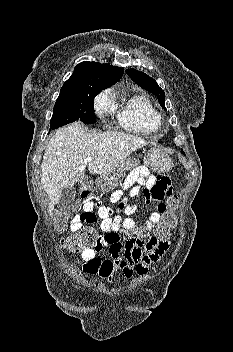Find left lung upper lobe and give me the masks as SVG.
<instances>
[{
    "mask_svg": "<svg viewBox=\"0 0 233 352\" xmlns=\"http://www.w3.org/2000/svg\"><path fill=\"white\" fill-rule=\"evenodd\" d=\"M126 73L140 87H142L146 91H149L150 93L156 95L160 105L163 108L165 107L164 106V104H165V93L162 90V88H160L158 86V84L156 83V81L153 78H151L147 74H145L143 72H140V71H137L135 69H127ZM181 151H183V150H181Z\"/></svg>",
    "mask_w": 233,
    "mask_h": 352,
    "instance_id": "obj_1",
    "label": "left lung upper lobe"
}]
</instances>
